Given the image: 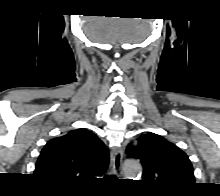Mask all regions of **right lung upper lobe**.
<instances>
[{"label":"right lung upper lobe","mask_w":220,"mask_h":196,"mask_svg":"<svg viewBox=\"0 0 220 196\" xmlns=\"http://www.w3.org/2000/svg\"><path fill=\"white\" fill-rule=\"evenodd\" d=\"M109 152L87 129L72 130L42 149L34 174L49 184L74 187L105 173Z\"/></svg>","instance_id":"right-lung-upper-lobe-1"}]
</instances>
